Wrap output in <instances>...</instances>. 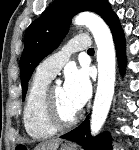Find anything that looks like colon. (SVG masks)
<instances>
[{
  "instance_id": "5ec220e1",
  "label": "colon",
  "mask_w": 139,
  "mask_h": 150,
  "mask_svg": "<svg viewBox=\"0 0 139 150\" xmlns=\"http://www.w3.org/2000/svg\"><path fill=\"white\" fill-rule=\"evenodd\" d=\"M16 150H27V149L23 148V147H18V148H16Z\"/></svg>"
}]
</instances>
